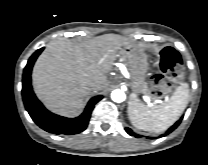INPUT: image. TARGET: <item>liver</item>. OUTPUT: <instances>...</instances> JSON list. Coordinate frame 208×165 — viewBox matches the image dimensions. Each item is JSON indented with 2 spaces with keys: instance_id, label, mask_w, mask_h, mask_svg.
<instances>
[{
  "instance_id": "liver-1",
  "label": "liver",
  "mask_w": 208,
  "mask_h": 165,
  "mask_svg": "<svg viewBox=\"0 0 208 165\" xmlns=\"http://www.w3.org/2000/svg\"><path fill=\"white\" fill-rule=\"evenodd\" d=\"M125 46L133 44L115 34L81 43L62 40L49 43L33 68L35 93L51 111L76 115L89 92L88 86L96 85L98 91L106 89L107 73L113 68L117 52Z\"/></svg>"
}]
</instances>
